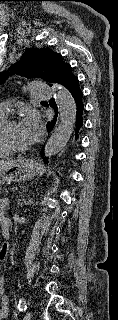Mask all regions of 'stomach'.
I'll use <instances>...</instances> for the list:
<instances>
[{"label":"stomach","mask_w":118,"mask_h":320,"mask_svg":"<svg viewBox=\"0 0 118 320\" xmlns=\"http://www.w3.org/2000/svg\"><path fill=\"white\" fill-rule=\"evenodd\" d=\"M39 172V165L29 159H17L0 166V185L6 182H21L33 178Z\"/></svg>","instance_id":"1"}]
</instances>
